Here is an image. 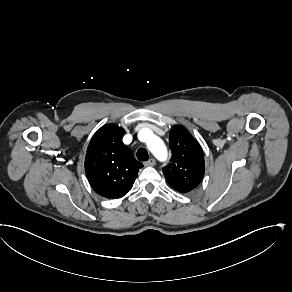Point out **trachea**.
Segmentation results:
<instances>
[{
	"label": "trachea",
	"mask_w": 292,
	"mask_h": 292,
	"mask_svg": "<svg viewBox=\"0 0 292 292\" xmlns=\"http://www.w3.org/2000/svg\"><path fill=\"white\" fill-rule=\"evenodd\" d=\"M137 158L140 161H147L149 159L148 151L145 148H139L137 150Z\"/></svg>",
	"instance_id": "1"
}]
</instances>
